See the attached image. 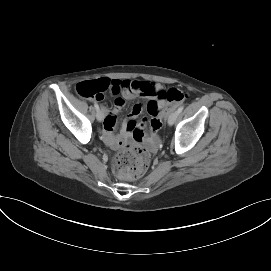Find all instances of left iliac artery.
Instances as JSON below:
<instances>
[{"mask_svg": "<svg viewBox=\"0 0 271 271\" xmlns=\"http://www.w3.org/2000/svg\"><path fill=\"white\" fill-rule=\"evenodd\" d=\"M184 109V106H180L178 109H177V112L180 114Z\"/></svg>", "mask_w": 271, "mask_h": 271, "instance_id": "obj_1", "label": "left iliac artery"}]
</instances>
